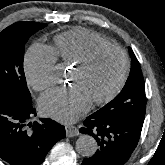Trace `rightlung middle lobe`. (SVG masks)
<instances>
[{
	"label": "right lung middle lobe",
	"instance_id": "right-lung-middle-lobe-1",
	"mask_svg": "<svg viewBox=\"0 0 165 165\" xmlns=\"http://www.w3.org/2000/svg\"><path fill=\"white\" fill-rule=\"evenodd\" d=\"M45 23L17 22L0 33V95L32 102L23 69L25 44Z\"/></svg>",
	"mask_w": 165,
	"mask_h": 165
}]
</instances>
